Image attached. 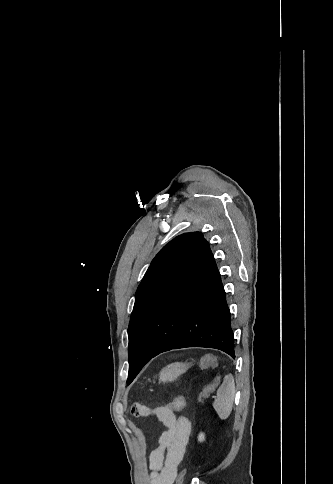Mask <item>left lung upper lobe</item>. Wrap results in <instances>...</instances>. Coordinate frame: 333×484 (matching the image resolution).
I'll return each mask as SVG.
<instances>
[{"label":"left lung upper lobe","mask_w":333,"mask_h":484,"mask_svg":"<svg viewBox=\"0 0 333 484\" xmlns=\"http://www.w3.org/2000/svg\"><path fill=\"white\" fill-rule=\"evenodd\" d=\"M205 242L203 234L199 232L184 233L166 244L151 262L137 289L128 327V383L133 381L143 367L141 363L138 366L132 364L131 358L151 314L177 276L182 273L192 254Z\"/></svg>","instance_id":"5c2ea615"}]
</instances>
